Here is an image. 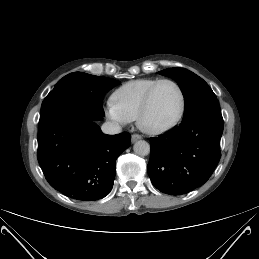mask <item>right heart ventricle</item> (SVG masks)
Wrapping results in <instances>:
<instances>
[{
  "mask_svg": "<svg viewBox=\"0 0 259 259\" xmlns=\"http://www.w3.org/2000/svg\"><path fill=\"white\" fill-rule=\"evenodd\" d=\"M158 80V78L132 80L113 93V101L129 121L137 119L147 91Z\"/></svg>",
  "mask_w": 259,
  "mask_h": 259,
  "instance_id": "right-heart-ventricle-1",
  "label": "right heart ventricle"
}]
</instances>
